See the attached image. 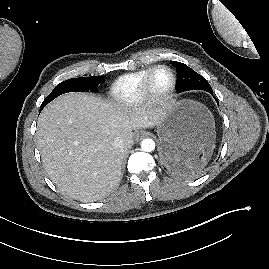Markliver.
Listing matches in <instances>:
<instances>
[{
	"instance_id": "1",
	"label": "liver",
	"mask_w": 269,
	"mask_h": 269,
	"mask_svg": "<svg viewBox=\"0 0 269 269\" xmlns=\"http://www.w3.org/2000/svg\"><path fill=\"white\" fill-rule=\"evenodd\" d=\"M161 108H130L85 93L56 98L37 121V146L48 176L64 194L93 202L116 188L133 130L158 125ZM121 137L124 148L112 141Z\"/></svg>"
}]
</instances>
